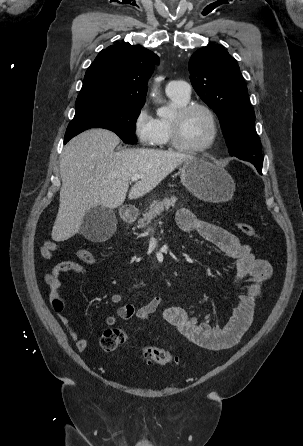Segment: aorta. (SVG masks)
Listing matches in <instances>:
<instances>
[{"instance_id": "aorta-1", "label": "aorta", "mask_w": 303, "mask_h": 446, "mask_svg": "<svg viewBox=\"0 0 303 446\" xmlns=\"http://www.w3.org/2000/svg\"><path fill=\"white\" fill-rule=\"evenodd\" d=\"M151 95H152L154 98H158V93H157V89H156V88H154V90H153V92H152ZM158 115H159V116H163V117L168 116V115H169V110L166 109V108H164V109H162V110L158 113Z\"/></svg>"}]
</instances>
